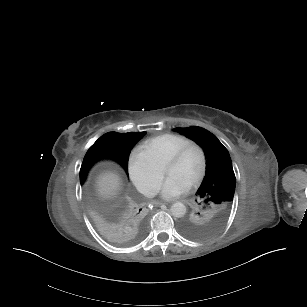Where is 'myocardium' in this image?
<instances>
[{"label": "myocardium", "instance_id": "f54148a6", "mask_svg": "<svg viewBox=\"0 0 307 307\" xmlns=\"http://www.w3.org/2000/svg\"><path fill=\"white\" fill-rule=\"evenodd\" d=\"M195 146H198L202 152L203 163H202V168L200 172L189 182V186H194L198 184L199 182H201L207 173L208 166H209V157H208V152L205 146L199 141L191 140L190 142L180 147L173 154L167 156L164 160V163L178 162L185 156V154L189 151V149Z\"/></svg>", "mask_w": 307, "mask_h": 307}]
</instances>
